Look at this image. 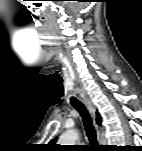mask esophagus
Wrapping results in <instances>:
<instances>
[{"label": "esophagus", "instance_id": "obj_1", "mask_svg": "<svg viewBox=\"0 0 142 151\" xmlns=\"http://www.w3.org/2000/svg\"><path fill=\"white\" fill-rule=\"evenodd\" d=\"M79 96H80L81 100L83 101V103L87 106L89 111L94 113V109L92 107V104L89 101V99L86 97V95L83 92H79Z\"/></svg>", "mask_w": 142, "mask_h": 151}]
</instances>
